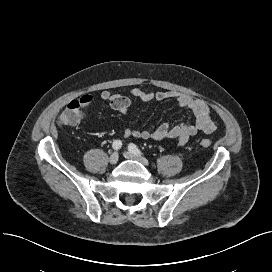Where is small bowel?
<instances>
[{
	"instance_id": "c3829d8e",
	"label": "small bowel",
	"mask_w": 272,
	"mask_h": 272,
	"mask_svg": "<svg viewBox=\"0 0 272 272\" xmlns=\"http://www.w3.org/2000/svg\"><path fill=\"white\" fill-rule=\"evenodd\" d=\"M130 94L143 102L174 100L181 108L192 112L195 116V121L177 125L163 123L154 130L127 127L123 132L124 137L155 141L170 139L183 146L198 132L209 134L217 129V123L212 118L209 105L201 99L176 91L151 92L137 88L132 89ZM96 100L108 102L113 110L122 114H126L131 106V100L128 97L112 93L109 90H102L98 98L87 94L78 100L71 101L61 115V123L66 126H78L85 118L87 108L95 103Z\"/></svg>"
}]
</instances>
